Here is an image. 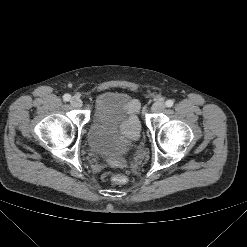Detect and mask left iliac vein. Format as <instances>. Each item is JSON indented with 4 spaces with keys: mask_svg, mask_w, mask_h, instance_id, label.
Here are the masks:
<instances>
[{
    "mask_svg": "<svg viewBox=\"0 0 247 247\" xmlns=\"http://www.w3.org/2000/svg\"><path fill=\"white\" fill-rule=\"evenodd\" d=\"M164 109H165V103L162 101L155 102L151 108L152 112L154 113L162 112Z\"/></svg>",
    "mask_w": 247,
    "mask_h": 247,
    "instance_id": "1",
    "label": "left iliac vein"
}]
</instances>
